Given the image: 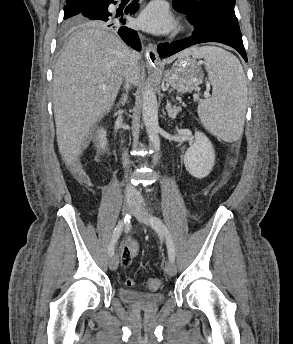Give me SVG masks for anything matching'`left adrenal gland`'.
I'll use <instances>...</instances> for the list:
<instances>
[{
    "instance_id": "a2214340",
    "label": "left adrenal gland",
    "mask_w": 293,
    "mask_h": 344,
    "mask_svg": "<svg viewBox=\"0 0 293 344\" xmlns=\"http://www.w3.org/2000/svg\"><path fill=\"white\" fill-rule=\"evenodd\" d=\"M166 110L168 116L172 119H175L177 114L181 111V107H177L175 105L172 106V104L169 101H167Z\"/></svg>"
}]
</instances>
